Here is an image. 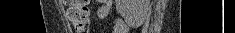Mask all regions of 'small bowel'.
Returning a JSON list of instances; mask_svg holds the SVG:
<instances>
[{"instance_id":"c3829d8e","label":"small bowel","mask_w":235,"mask_h":33,"mask_svg":"<svg viewBox=\"0 0 235 33\" xmlns=\"http://www.w3.org/2000/svg\"><path fill=\"white\" fill-rule=\"evenodd\" d=\"M100 4L101 5L97 10V16L100 19H105L111 13L112 2L110 0H103L100 2ZM127 32H128L127 24L121 18H117L114 21L112 33H127Z\"/></svg>"}]
</instances>
